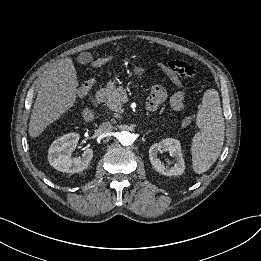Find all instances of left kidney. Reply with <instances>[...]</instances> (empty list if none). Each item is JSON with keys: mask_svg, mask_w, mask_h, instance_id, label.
<instances>
[{"mask_svg": "<svg viewBox=\"0 0 261 261\" xmlns=\"http://www.w3.org/2000/svg\"><path fill=\"white\" fill-rule=\"evenodd\" d=\"M162 152H169L174 158L175 163L173 167H166L161 163L158 153ZM149 159L153 168L162 175L178 176L183 174L185 170L180 141L174 138H166L152 145L149 149Z\"/></svg>", "mask_w": 261, "mask_h": 261, "instance_id": "1", "label": "left kidney"}]
</instances>
